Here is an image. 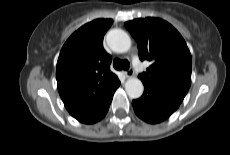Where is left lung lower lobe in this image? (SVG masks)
Returning <instances> with one entry per match:
<instances>
[{"label": "left lung lower lobe", "instance_id": "obj_1", "mask_svg": "<svg viewBox=\"0 0 230 155\" xmlns=\"http://www.w3.org/2000/svg\"><path fill=\"white\" fill-rule=\"evenodd\" d=\"M181 103L161 91L144 84L141 98L132 101L135 113L147 123L155 124L169 118Z\"/></svg>", "mask_w": 230, "mask_h": 155}]
</instances>
